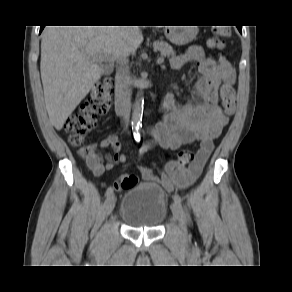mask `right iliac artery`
Returning <instances> with one entry per match:
<instances>
[{"instance_id":"right-iliac-artery-1","label":"right iliac artery","mask_w":292,"mask_h":292,"mask_svg":"<svg viewBox=\"0 0 292 292\" xmlns=\"http://www.w3.org/2000/svg\"><path fill=\"white\" fill-rule=\"evenodd\" d=\"M113 194V189L112 187H109L107 190H106V193H105V196L108 198L110 195Z\"/></svg>"}]
</instances>
